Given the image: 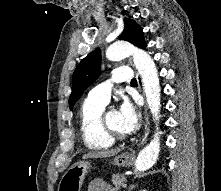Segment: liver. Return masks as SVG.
Returning a JSON list of instances; mask_svg holds the SVG:
<instances>
[{
	"label": "liver",
	"mask_w": 221,
	"mask_h": 191,
	"mask_svg": "<svg viewBox=\"0 0 221 191\" xmlns=\"http://www.w3.org/2000/svg\"><path fill=\"white\" fill-rule=\"evenodd\" d=\"M119 152H120V149H114V150H108V151H102V152H91V153L85 154L83 156V159L106 158V157L114 156Z\"/></svg>",
	"instance_id": "1"
}]
</instances>
